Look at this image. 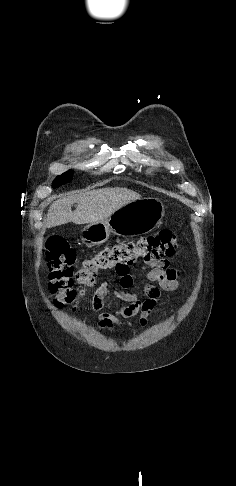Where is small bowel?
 <instances>
[{
	"label": "small bowel",
	"instance_id": "small-bowel-1",
	"mask_svg": "<svg viewBox=\"0 0 236 486\" xmlns=\"http://www.w3.org/2000/svg\"><path fill=\"white\" fill-rule=\"evenodd\" d=\"M148 269L146 278L149 283L144 287L146 299H139L133 288V276L129 266L121 270H116L119 277V286L113 287L108 282H101L94 292L92 300V310L100 312L98 315L99 325L102 327L131 326L138 323L146 326L149 315L154 311H159L161 307L160 289L173 291L177 288V272L169 268L167 260L147 262ZM113 294L121 301L127 303L126 306L115 308L109 301V295ZM104 309L109 311L102 312Z\"/></svg>",
	"mask_w": 236,
	"mask_h": 486
}]
</instances>
